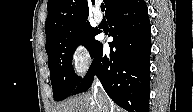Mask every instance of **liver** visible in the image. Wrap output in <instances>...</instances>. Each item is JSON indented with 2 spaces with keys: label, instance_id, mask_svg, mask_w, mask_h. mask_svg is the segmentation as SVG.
<instances>
[{
  "label": "liver",
  "instance_id": "1",
  "mask_svg": "<svg viewBox=\"0 0 193 112\" xmlns=\"http://www.w3.org/2000/svg\"><path fill=\"white\" fill-rule=\"evenodd\" d=\"M109 112H113L115 109L110 105ZM96 99L94 98L93 92L85 93L68 99L56 107V112H102ZM120 110V109H117Z\"/></svg>",
  "mask_w": 193,
  "mask_h": 112
}]
</instances>
